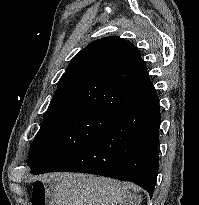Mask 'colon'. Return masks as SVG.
Segmentation results:
<instances>
[{
  "label": "colon",
  "instance_id": "obj_1",
  "mask_svg": "<svg viewBox=\"0 0 199 205\" xmlns=\"http://www.w3.org/2000/svg\"><path fill=\"white\" fill-rule=\"evenodd\" d=\"M33 205H46L45 198L38 191H35L33 195Z\"/></svg>",
  "mask_w": 199,
  "mask_h": 205
}]
</instances>
